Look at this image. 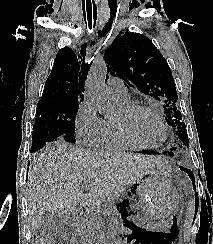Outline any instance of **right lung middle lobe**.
<instances>
[{
  "label": "right lung middle lobe",
  "instance_id": "dd1d6c3e",
  "mask_svg": "<svg viewBox=\"0 0 213 244\" xmlns=\"http://www.w3.org/2000/svg\"><path fill=\"white\" fill-rule=\"evenodd\" d=\"M78 107V102L39 101L31 150H38L56 139L75 143V116Z\"/></svg>",
  "mask_w": 213,
  "mask_h": 244
}]
</instances>
